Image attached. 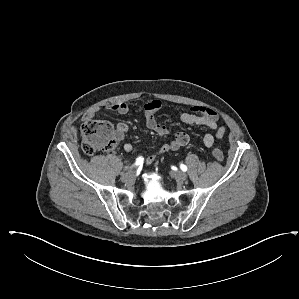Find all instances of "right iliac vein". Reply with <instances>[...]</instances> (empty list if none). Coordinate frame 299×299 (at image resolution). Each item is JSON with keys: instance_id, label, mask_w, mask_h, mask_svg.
<instances>
[{"instance_id": "1", "label": "right iliac vein", "mask_w": 299, "mask_h": 299, "mask_svg": "<svg viewBox=\"0 0 299 299\" xmlns=\"http://www.w3.org/2000/svg\"><path fill=\"white\" fill-rule=\"evenodd\" d=\"M135 178V172L129 171L121 176V180L126 183H131Z\"/></svg>"}]
</instances>
